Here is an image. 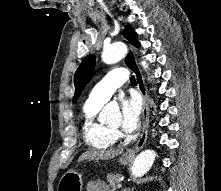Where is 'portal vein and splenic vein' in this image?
Instances as JSON below:
<instances>
[{
    "label": "portal vein and splenic vein",
    "mask_w": 221,
    "mask_h": 191,
    "mask_svg": "<svg viewBox=\"0 0 221 191\" xmlns=\"http://www.w3.org/2000/svg\"><path fill=\"white\" fill-rule=\"evenodd\" d=\"M117 187H118V188H121V187H122V184H118Z\"/></svg>",
    "instance_id": "obj_1"
}]
</instances>
